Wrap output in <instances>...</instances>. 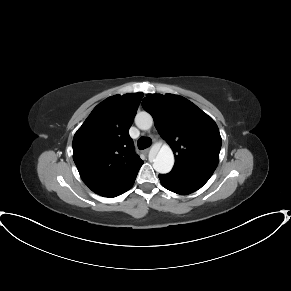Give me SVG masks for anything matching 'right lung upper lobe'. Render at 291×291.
Instances as JSON below:
<instances>
[{
    "mask_svg": "<svg viewBox=\"0 0 291 291\" xmlns=\"http://www.w3.org/2000/svg\"><path fill=\"white\" fill-rule=\"evenodd\" d=\"M143 93L115 95L97 105L73 138V159L84 183L108 197L128 186L143 161L129 136Z\"/></svg>",
    "mask_w": 291,
    "mask_h": 291,
    "instance_id": "1",
    "label": "right lung upper lobe"
}]
</instances>
